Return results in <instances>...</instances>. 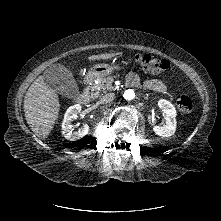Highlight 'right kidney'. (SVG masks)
Masks as SVG:
<instances>
[{
    "label": "right kidney",
    "instance_id": "right-kidney-1",
    "mask_svg": "<svg viewBox=\"0 0 221 221\" xmlns=\"http://www.w3.org/2000/svg\"><path fill=\"white\" fill-rule=\"evenodd\" d=\"M80 111H81V106L76 104V105L70 106L65 112L64 119L62 122V129L67 139H71V140L75 139V138H71V133L73 130V126L71 122L72 120L77 119L78 113H80ZM88 129H89L88 125H85L84 129L81 132L79 131L76 138H80L86 135L88 133Z\"/></svg>",
    "mask_w": 221,
    "mask_h": 221
}]
</instances>
